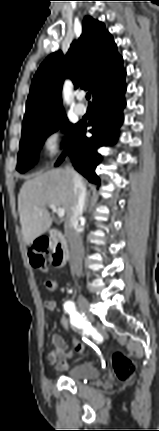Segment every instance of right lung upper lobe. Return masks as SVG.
<instances>
[{
	"label": "right lung upper lobe",
	"mask_w": 159,
	"mask_h": 431,
	"mask_svg": "<svg viewBox=\"0 0 159 431\" xmlns=\"http://www.w3.org/2000/svg\"><path fill=\"white\" fill-rule=\"evenodd\" d=\"M125 75L122 57L104 24L85 17L83 32L67 54L61 51L49 55L40 65L31 83L26 103L22 131L64 113L61 90L65 78L75 88L93 92V97L105 86Z\"/></svg>",
	"instance_id": "obj_1"
}]
</instances>
